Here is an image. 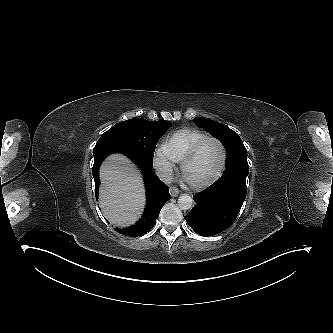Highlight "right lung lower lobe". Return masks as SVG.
<instances>
[{"instance_id":"obj_1","label":"right lung lower lobe","mask_w":333,"mask_h":333,"mask_svg":"<svg viewBox=\"0 0 333 333\" xmlns=\"http://www.w3.org/2000/svg\"><path fill=\"white\" fill-rule=\"evenodd\" d=\"M120 152L128 156L143 171L146 186L147 204L142 218L128 228H116L118 233L130 237H138L150 231L159 216L163 205L170 199L169 188L152 171V163L148 162L127 140L105 132L93 149L94 165L92 174L95 181V196L98 198L99 167L106 156Z\"/></svg>"}]
</instances>
